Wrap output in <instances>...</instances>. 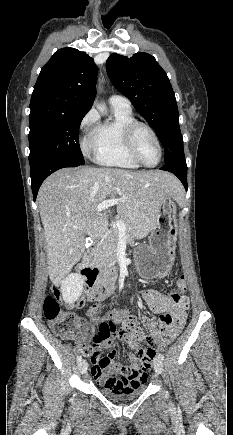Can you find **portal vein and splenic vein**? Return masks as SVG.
Masks as SVG:
<instances>
[{"instance_id":"portal-vein-and-splenic-vein-1","label":"portal vein and splenic vein","mask_w":233,"mask_h":435,"mask_svg":"<svg viewBox=\"0 0 233 435\" xmlns=\"http://www.w3.org/2000/svg\"><path fill=\"white\" fill-rule=\"evenodd\" d=\"M120 201H121L120 198L103 201L97 206L96 211L101 212L102 210H104L112 205L118 204V202H120ZM114 225L118 228L119 233L126 234L127 227H126V224L124 223L123 220L115 221Z\"/></svg>"}]
</instances>
